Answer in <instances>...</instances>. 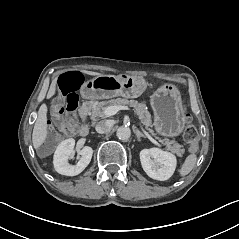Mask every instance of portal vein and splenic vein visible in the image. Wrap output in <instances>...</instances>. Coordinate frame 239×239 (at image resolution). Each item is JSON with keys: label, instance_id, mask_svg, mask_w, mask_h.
<instances>
[{"label": "portal vein and splenic vein", "instance_id": "portal-vein-and-splenic-vein-1", "mask_svg": "<svg viewBox=\"0 0 239 239\" xmlns=\"http://www.w3.org/2000/svg\"><path fill=\"white\" fill-rule=\"evenodd\" d=\"M119 110H128V107L127 106H109V107H107L106 109H105V115L106 116H112V115H115ZM130 111L132 110L131 108L129 109ZM133 114H135L136 116L138 115V113L137 112H135V111H131ZM137 118V120L139 121V125H140V127H141V129L143 130L144 128H143V126H142V122H141V120H140V118L137 116L136 117ZM144 133L147 135V137L152 141V142H154L155 144H157V146L158 147H162L157 141H155L149 134H148V132H146V131H144Z\"/></svg>", "mask_w": 239, "mask_h": 239}]
</instances>
